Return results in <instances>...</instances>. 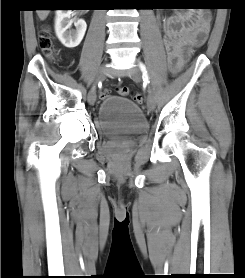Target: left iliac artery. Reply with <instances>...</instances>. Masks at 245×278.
Wrapping results in <instances>:
<instances>
[{
    "instance_id": "1",
    "label": "left iliac artery",
    "mask_w": 245,
    "mask_h": 278,
    "mask_svg": "<svg viewBox=\"0 0 245 278\" xmlns=\"http://www.w3.org/2000/svg\"><path fill=\"white\" fill-rule=\"evenodd\" d=\"M140 67H141V70L143 72V80L147 81L148 80V75H147L146 68H145V66L143 64H140Z\"/></svg>"
}]
</instances>
